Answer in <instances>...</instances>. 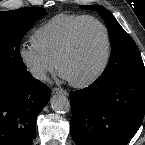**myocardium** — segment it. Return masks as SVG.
<instances>
[{
	"instance_id": "obj_1",
	"label": "myocardium",
	"mask_w": 145,
	"mask_h": 145,
	"mask_svg": "<svg viewBox=\"0 0 145 145\" xmlns=\"http://www.w3.org/2000/svg\"><path fill=\"white\" fill-rule=\"evenodd\" d=\"M89 21L96 23L103 30V33L105 36V42H106V53H105V58L103 60V63L101 64L99 69L94 74H92L90 77H88L85 80L77 81V82L68 80L70 85H72L73 87H76V88H86V87L94 84L96 81H98L103 76L105 71L107 70L109 63L111 61V57H112V40H111V35L109 32V29L100 19H98L94 16L86 15V16L82 17L81 19H79L76 22V24L73 26V28L71 29L67 42L56 60L57 70L61 73V65H62L63 61L71 54V52L73 51V49L76 45L77 34H78L80 27L85 22H89Z\"/></svg>"
}]
</instances>
